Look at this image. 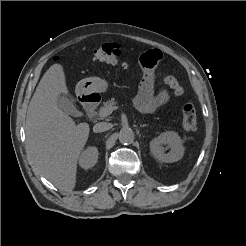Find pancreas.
Returning <instances> with one entry per match:
<instances>
[{"label":"pancreas","mask_w":246,"mask_h":246,"mask_svg":"<svg viewBox=\"0 0 246 246\" xmlns=\"http://www.w3.org/2000/svg\"><path fill=\"white\" fill-rule=\"evenodd\" d=\"M117 104V102L114 100V98H112L111 100H108L106 102L103 103V107L100 108L103 109V108H106V107H113Z\"/></svg>","instance_id":"cf45deb5"}]
</instances>
